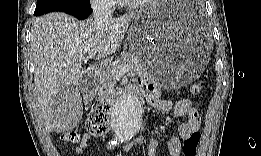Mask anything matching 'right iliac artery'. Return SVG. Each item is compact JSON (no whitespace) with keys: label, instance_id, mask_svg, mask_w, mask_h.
Returning a JSON list of instances; mask_svg holds the SVG:
<instances>
[{"label":"right iliac artery","instance_id":"82829eb1","mask_svg":"<svg viewBox=\"0 0 261 156\" xmlns=\"http://www.w3.org/2000/svg\"><path fill=\"white\" fill-rule=\"evenodd\" d=\"M118 143H119V140L116 139V140L111 141V143H109V144H110V147H111V146H114Z\"/></svg>","mask_w":261,"mask_h":156}]
</instances>
